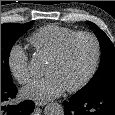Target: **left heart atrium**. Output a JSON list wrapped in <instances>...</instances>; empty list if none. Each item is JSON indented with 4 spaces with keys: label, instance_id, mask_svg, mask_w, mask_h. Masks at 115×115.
<instances>
[{
    "label": "left heart atrium",
    "instance_id": "1",
    "mask_svg": "<svg viewBox=\"0 0 115 115\" xmlns=\"http://www.w3.org/2000/svg\"><path fill=\"white\" fill-rule=\"evenodd\" d=\"M65 85L55 75H47L33 80L22 90V96L36 101H46L61 95Z\"/></svg>",
    "mask_w": 115,
    "mask_h": 115
}]
</instances>
